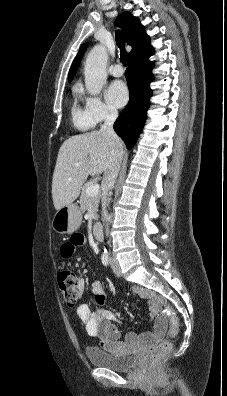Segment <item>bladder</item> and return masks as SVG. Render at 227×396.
I'll list each match as a JSON object with an SVG mask.
<instances>
[{
  "mask_svg": "<svg viewBox=\"0 0 227 396\" xmlns=\"http://www.w3.org/2000/svg\"><path fill=\"white\" fill-rule=\"evenodd\" d=\"M86 357L93 366L119 372L129 371L138 361L135 354L114 353L96 346H90L86 349Z\"/></svg>",
  "mask_w": 227,
  "mask_h": 396,
  "instance_id": "31cf9c89",
  "label": "bladder"
}]
</instances>
